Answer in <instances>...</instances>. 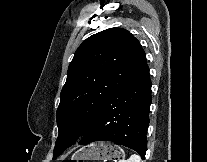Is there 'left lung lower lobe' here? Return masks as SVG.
<instances>
[{
	"label": "left lung lower lobe",
	"mask_w": 207,
	"mask_h": 162,
	"mask_svg": "<svg viewBox=\"0 0 207 162\" xmlns=\"http://www.w3.org/2000/svg\"><path fill=\"white\" fill-rule=\"evenodd\" d=\"M151 104V80L146 58L100 107L80 144L111 141L135 150L145 159Z\"/></svg>",
	"instance_id": "0a47b994"
}]
</instances>
